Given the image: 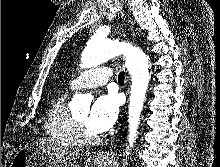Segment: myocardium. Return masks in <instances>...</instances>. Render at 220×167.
<instances>
[{"instance_id":"myocardium-1","label":"myocardium","mask_w":220,"mask_h":167,"mask_svg":"<svg viewBox=\"0 0 220 167\" xmlns=\"http://www.w3.org/2000/svg\"><path fill=\"white\" fill-rule=\"evenodd\" d=\"M73 120L75 135L78 142L82 144H94L99 141V137L94 133H90L76 116H73Z\"/></svg>"}]
</instances>
